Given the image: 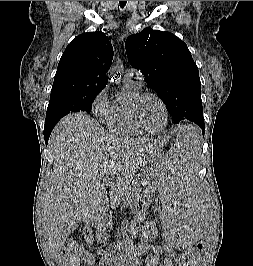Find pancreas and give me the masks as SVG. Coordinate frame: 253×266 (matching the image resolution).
Segmentation results:
<instances>
[{
  "instance_id": "cf45deb5",
  "label": "pancreas",
  "mask_w": 253,
  "mask_h": 266,
  "mask_svg": "<svg viewBox=\"0 0 253 266\" xmlns=\"http://www.w3.org/2000/svg\"><path fill=\"white\" fill-rule=\"evenodd\" d=\"M142 184L141 183H138L134 186L133 190H132V194L131 196L129 197V200L131 202H136V201H139V199H142ZM127 200V201H129ZM142 241L146 240L145 237L143 239H141Z\"/></svg>"
}]
</instances>
